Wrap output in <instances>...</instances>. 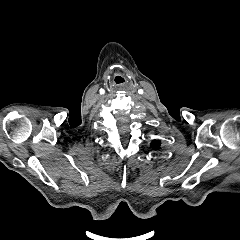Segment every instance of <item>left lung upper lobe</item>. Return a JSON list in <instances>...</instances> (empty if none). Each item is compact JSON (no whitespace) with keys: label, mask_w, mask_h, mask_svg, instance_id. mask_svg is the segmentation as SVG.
<instances>
[{"label":"left lung upper lobe","mask_w":240,"mask_h":240,"mask_svg":"<svg viewBox=\"0 0 240 240\" xmlns=\"http://www.w3.org/2000/svg\"><path fill=\"white\" fill-rule=\"evenodd\" d=\"M151 147L155 150L159 149L160 147V141L159 140H154L152 143H151Z\"/></svg>","instance_id":"obj_1"}]
</instances>
